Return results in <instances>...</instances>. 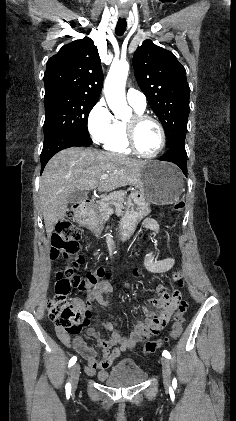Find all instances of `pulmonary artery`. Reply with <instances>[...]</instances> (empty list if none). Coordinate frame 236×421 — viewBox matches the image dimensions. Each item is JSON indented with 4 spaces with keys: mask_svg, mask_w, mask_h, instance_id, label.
Returning <instances> with one entry per match:
<instances>
[{
    "mask_svg": "<svg viewBox=\"0 0 236 421\" xmlns=\"http://www.w3.org/2000/svg\"><path fill=\"white\" fill-rule=\"evenodd\" d=\"M127 100L130 105L133 107L144 110L147 106L146 98L145 96L140 93L139 91H136L134 89H129L127 92Z\"/></svg>",
    "mask_w": 236,
    "mask_h": 421,
    "instance_id": "obj_1",
    "label": "pulmonary artery"
}]
</instances>
